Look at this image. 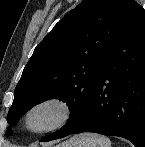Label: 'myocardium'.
<instances>
[{
    "instance_id": "myocardium-1",
    "label": "myocardium",
    "mask_w": 145,
    "mask_h": 147,
    "mask_svg": "<svg viewBox=\"0 0 145 147\" xmlns=\"http://www.w3.org/2000/svg\"><path fill=\"white\" fill-rule=\"evenodd\" d=\"M50 108L57 110V118L47 125L35 126L33 123L34 117L39 112ZM73 113V106L67 99L57 95L44 97L27 108L23 116V126L30 134L39 135L51 133L67 125L72 119Z\"/></svg>"
}]
</instances>
